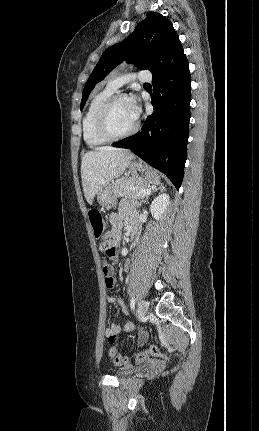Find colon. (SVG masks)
<instances>
[{"instance_id":"5ec220e1","label":"colon","mask_w":259,"mask_h":431,"mask_svg":"<svg viewBox=\"0 0 259 431\" xmlns=\"http://www.w3.org/2000/svg\"><path fill=\"white\" fill-rule=\"evenodd\" d=\"M89 221L94 233V236L97 239H100L99 248L104 257L109 261H114L117 257V249L116 246L113 245L108 239L104 236V218L99 210L91 209L88 213ZM104 266H108L105 264ZM116 334H110L108 336L109 342L113 343L116 340ZM109 355L113 362L118 366H128L133 362H142L149 358L153 357H165V353L156 345H151L145 350L141 351L137 355L133 357H127L120 355L114 348H111L109 351Z\"/></svg>"}]
</instances>
